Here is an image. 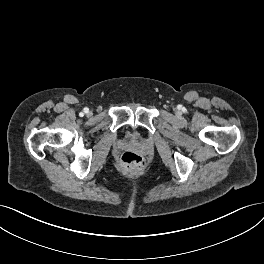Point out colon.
Instances as JSON below:
<instances>
[{"mask_svg": "<svg viewBox=\"0 0 264 264\" xmlns=\"http://www.w3.org/2000/svg\"><path fill=\"white\" fill-rule=\"evenodd\" d=\"M119 167L125 173H137L143 169L144 160L139 154L128 151L120 157Z\"/></svg>", "mask_w": 264, "mask_h": 264, "instance_id": "obj_1", "label": "colon"}]
</instances>
